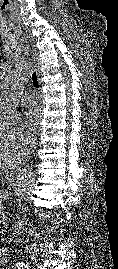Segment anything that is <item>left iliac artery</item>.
Listing matches in <instances>:
<instances>
[{"mask_svg": "<svg viewBox=\"0 0 118 269\" xmlns=\"http://www.w3.org/2000/svg\"><path fill=\"white\" fill-rule=\"evenodd\" d=\"M17 268L18 269H29L27 264H25L24 262L22 261H19L17 264H16Z\"/></svg>", "mask_w": 118, "mask_h": 269, "instance_id": "obj_1", "label": "left iliac artery"}]
</instances>
